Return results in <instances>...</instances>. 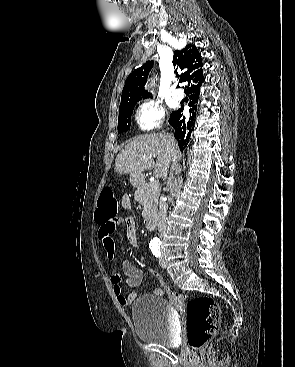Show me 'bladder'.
Segmentation results:
<instances>
[{
    "instance_id": "obj_1",
    "label": "bladder",
    "mask_w": 295,
    "mask_h": 367,
    "mask_svg": "<svg viewBox=\"0 0 295 367\" xmlns=\"http://www.w3.org/2000/svg\"><path fill=\"white\" fill-rule=\"evenodd\" d=\"M132 320L141 341L161 346H172L177 340L174 312L163 297L146 294L132 306Z\"/></svg>"
}]
</instances>
